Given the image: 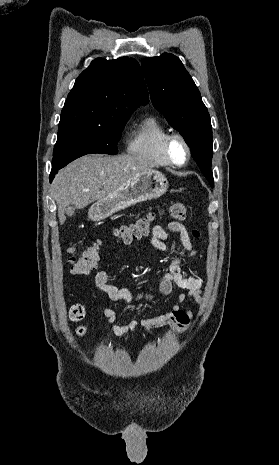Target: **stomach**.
I'll return each instance as SVG.
<instances>
[{"mask_svg": "<svg viewBox=\"0 0 279 465\" xmlns=\"http://www.w3.org/2000/svg\"><path fill=\"white\" fill-rule=\"evenodd\" d=\"M168 187L166 177L158 171L139 173L113 193L95 202L89 209V217L94 221L105 219L132 205L162 196Z\"/></svg>", "mask_w": 279, "mask_h": 465, "instance_id": "0dacf381", "label": "stomach"}]
</instances>
